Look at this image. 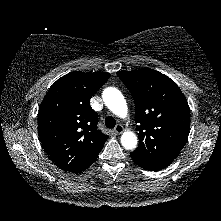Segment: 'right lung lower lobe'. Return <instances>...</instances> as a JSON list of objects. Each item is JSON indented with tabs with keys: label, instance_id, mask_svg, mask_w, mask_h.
<instances>
[{
	"label": "right lung lower lobe",
	"instance_id": "1",
	"mask_svg": "<svg viewBox=\"0 0 221 221\" xmlns=\"http://www.w3.org/2000/svg\"><path fill=\"white\" fill-rule=\"evenodd\" d=\"M96 158H97V157H96ZM96 158H95L91 163H89L85 168H83L81 171H79V172H82V171L86 170L91 164L94 163V161L96 160Z\"/></svg>",
	"mask_w": 221,
	"mask_h": 221
}]
</instances>
